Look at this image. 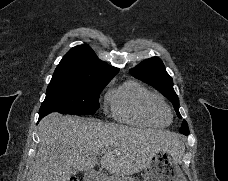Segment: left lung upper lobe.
I'll use <instances>...</instances> for the list:
<instances>
[{
    "label": "left lung upper lobe",
    "instance_id": "left-lung-upper-lobe-1",
    "mask_svg": "<svg viewBox=\"0 0 228 181\" xmlns=\"http://www.w3.org/2000/svg\"><path fill=\"white\" fill-rule=\"evenodd\" d=\"M133 77L153 86L166 96L173 104L178 117L179 114V99L173 89V80L165 70L163 62L158 57H152L137 65L130 70ZM180 133L184 135L189 134L187 122H182Z\"/></svg>",
    "mask_w": 228,
    "mask_h": 181
}]
</instances>
